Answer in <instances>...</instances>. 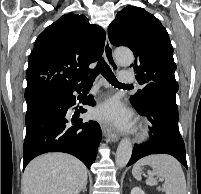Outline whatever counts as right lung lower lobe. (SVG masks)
<instances>
[{
  "instance_id": "1",
  "label": "right lung lower lobe",
  "mask_w": 201,
  "mask_h": 194,
  "mask_svg": "<svg viewBox=\"0 0 201 194\" xmlns=\"http://www.w3.org/2000/svg\"><path fill=\"white\" fill-rule=\"evenodd\" d=\"M75 88L41 86L25 91L27 102L26 137L23 146V168L36 156L47 152H64L76 156L87 168L93 164L101 138L100 126L96 121H84L79 117L85 109L77 110L68 118V108L76 102ZM83 104L95 105L92 96Z\"/></svg>"
}]
</instances>
